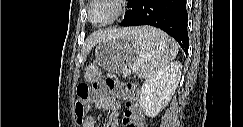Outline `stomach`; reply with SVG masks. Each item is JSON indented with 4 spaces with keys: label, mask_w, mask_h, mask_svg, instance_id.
<instances>
[{
    "label": "stomach",
    "mask_w": 243,
    "mask_h": 127,
    "mask_svg": "<svg viewBox=\"0 0 243 127\" xmlns=\"http://www.w3.org/2000/svg\"><path fill=\"white\" fill-rule=\"evenodd\" d=\"M95 61L85 68V79L99 80L101 69L108 72H121L131 66L139 57V48L130 36H121L98 44Z\"/></svg>",
    "instance_id": "stomach-1"
}]
</instances>
